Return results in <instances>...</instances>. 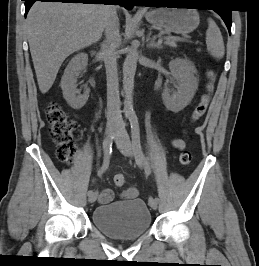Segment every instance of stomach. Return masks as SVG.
<instances>
[{"label":"stomach","mask_w":259,"mask_h":266,"mask_svg":"<svg viewBox=\"0 0 259 266\" xmlns=\"http://www.w3.org/2000/svg\"><path fill=\"white\" fill-rule=\"evenodd\" d=\"M175 5L176 7H183L182 4ZM146 19L151 24L177 34H187L194 31L200 22L198 12L188 8L153 9L146 13Z\"/></svg>","instance_id":"obj_1"}]
</instances>
